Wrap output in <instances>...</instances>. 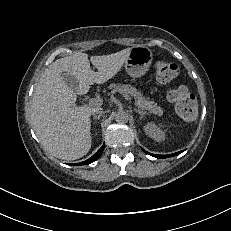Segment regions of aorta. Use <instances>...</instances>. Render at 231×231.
I'll use <instances>...</instances> for the list:
<instances>
[{
	"label": "aorta",
	"mask_w": 231,
	"mask_h": 231,
	"mask_svg": "<svg viewBox=\"0 0 231 231\" xmlns=\"http://www.w3.org/2000/svg\"><path fill=\"white\" fill-rule=\"evenodd\" d=\"M115 120L118 123H127L129 120V114L124 110H120L115 114Z\"/></svg>",
	"instance_id": "1"
}]
</instances>
